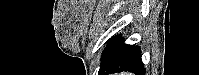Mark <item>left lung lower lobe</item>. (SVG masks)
Masks as SVG:
<instances>
[{
  "label": "left lung lower lobe",
  "instance_id": "obj_1",
  "mask_svg": "<svg viewBox=\"0 0 199 75\" xmlns=\"http://www.w3.org/2000/svg\"><path fill=\"white\" fill-rule=\"evenodd\" d=\"M122 71L145 75L140 48L134 45H126L122 38L115 36L110 39L102 55L98 75Z\"/></svg>",
  "mask_w": 199,
  "mask_h": 75
}]
</instances>
